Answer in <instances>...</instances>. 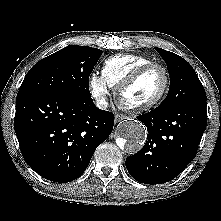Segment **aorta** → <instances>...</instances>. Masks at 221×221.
Segmentation results:
<instances>
[{
	"label": "aorta",
	"mask_w": 221,
	"mask_h": 221,
	"mask_svg": "<svg viewBox=\"0 0 221 221\" xmlns=\"http://www.w3.org/2000/svg\"><path fill=\"white\" fill-rule=\"evenodd\" d=\"M120 133L122 136L116 139V143L128 154L137 153L146 139L144 125L134 120H126L120 127Z\"/></svg>",
	"instance_id": "aorta-1"
}]
</instances>
